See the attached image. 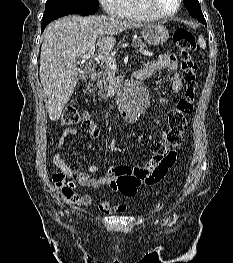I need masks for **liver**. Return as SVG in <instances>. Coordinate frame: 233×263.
I'll use <instances>...</instances> for the list:
<instances>
[{
	"mask_svg": "<svg viewBox=\"0 0 233 263\" xmlns=\"http://www.w3.org/2000/svg\"><path fill=\"white\" fill-rule=\"evenodd\" d=\"M143 25L106 16H66L45 29L40 53L39 75L48 97L49 119L57 121L73 94L79 70L78 59L94 46L108 55L116 43L115 35Z\"/></svg>",
	"mask_w": 233,
	"mask_h": 263,
	"instance_id": "liver-1",
	"label": "liver"
}]
</instances>
